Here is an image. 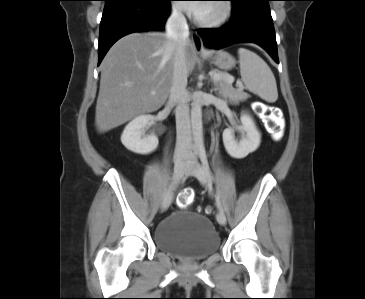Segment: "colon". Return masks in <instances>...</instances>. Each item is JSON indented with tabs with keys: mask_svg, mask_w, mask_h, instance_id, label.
<instances>
[{
	"mask_svg": "<svg viewBox=\"0 0 365 299\" xmlns=\"http://www.w3.org/2000/svg\"><path fill=\"white\" fill-rule=\"evenodd\" d=\"M266 118L268 123V132L274 139H279L284 132V122L279 115V111L273 107H267ZM194 199L193 190L183 189L177 196L178 206L185 208L189 206Z\"/></svg>",
	"mask_w": 365,
	"mask_h": 299,
	"instance_id": "colon-1",
	"label": "colon"
}]
</instances>
